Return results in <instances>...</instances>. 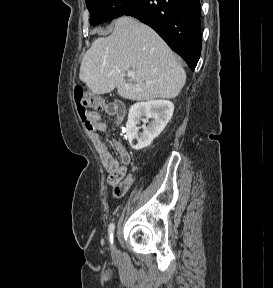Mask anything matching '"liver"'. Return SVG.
<instances>
[{
    "label": "liver",
    "mask_w": 273,
    "mask_h": 288,
    "mask_svg": "<svg viewBox=\"0 0 273 288\" xmlns=\"http://www.w3.org/2000/svg\"><path fill=\"white\" fill-rule=\"evenodd\" d=\"M133 71L131 83L126 72ZM79 78L94 94L113 91L133 101L177 97L186 73L171 49L149 26L120 17L112 34L99 37L84 55Z\"/></svg>",
    "instance_id": "obj_1"
}]
</instances>
